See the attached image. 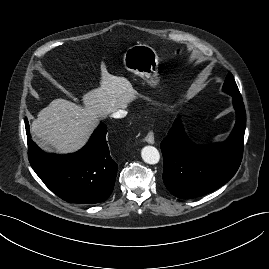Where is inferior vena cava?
Wrapping results in <instances>:
<instances>
[{"instance_id": "inferior-vena-cava-1", "label": "inferior vena cava", "mask_w": 269, "mask_h": 269, "mask_svg": "<svg viewBox=\"0 0 269 269\" xmlns=\"http://www.w3.org/2000/svg\"><path fill=\"white\" fill-rule=\"evenodd\" d=\"M127 115V111L125 110H118L112 114V117L114 118H123Z\"/></svg>"}]
</instances>
